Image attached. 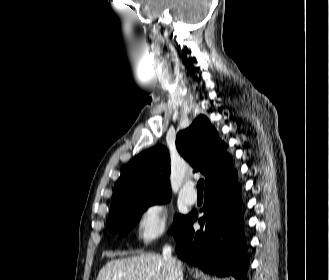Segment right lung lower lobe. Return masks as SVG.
I'll use <instances>...</instances> for the list:
<instances>
[{
  "label": "right lung lower lobe",
  "mask_w": 329,
  "mask_h": 280,
  "mask_svg": "<svg viewBox=\"0 0 329 280\" xmlns=\"http://www.w3.org/2000/svg\"><path fill=\"white\" fill-rule=\"evenodd\" d=\"M240 189L233 166L205 186L201 229H193L197 218L193 211L174 232L180 259L203 271L246 280L249 261L240 217Z\"/></svg>",
  "instance_id": "98d812e1"
}]
</instances>
